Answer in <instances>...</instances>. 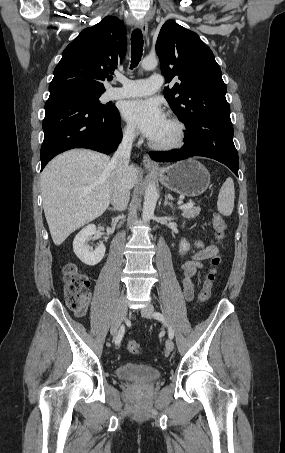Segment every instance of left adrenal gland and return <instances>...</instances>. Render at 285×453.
Masks as SVG:
<instances>
[{
	"label": "left adrenal gland",
	"instance_id": "left-adrenal-gland-1",
	"mask_svg": "<svg viewBox=\"0 0 285 453\" xmlns=\"http://www.w3.org/2000/svg\"><path fill=\"white\" fill-rule=\"evenodd\" d=\"M164 206H169L172 210V212L174 213V206L171 202L168 201V197L165 196V202H164Z\"/></svg>",
	"mask_w": 285,
	"mask_h": 453
}]
</instances>
